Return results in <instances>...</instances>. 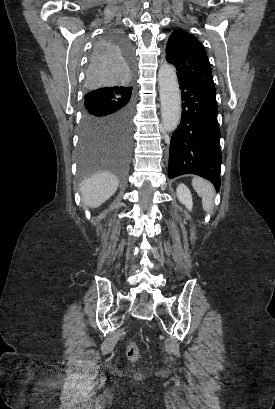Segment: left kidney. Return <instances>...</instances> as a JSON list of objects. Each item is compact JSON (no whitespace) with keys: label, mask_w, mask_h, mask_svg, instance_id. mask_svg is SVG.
<instances>
[{"label":"left kidney","mask_w":275,"mask_h":409,"mask_svg":"<svg viewBox=\"0 0 275 409\" xmlns=\"http://www.w3.org/2000/svg\"><path fill=\"white\" fill-rule=\"evenodd\" d=\"M177 196L180 202H182V205H185L186 209H188V211H191L193 207L192 194L188 186H186V184H183V182H180V184H178L177 186Z\"/></svg>","instance_id":"left-kidney-1"}]
</instances>
